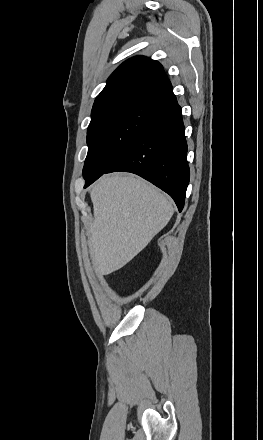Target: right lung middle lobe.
<instances>
[{"label":"right lung middle lobe","instance_id":"dd1d6c3e","mask_svg":"<svg viewBox=\"0 0 263 440\" xmlns=\"http://www.w3.org/2000/svg\"><path fill=\"white\" fill-rule=\"evenodd\" d=\"M156 112L157 106L138 105L112 108L92 117L87 130L84 179L104 174L112 160L137 137Z\"/></svg>","mask_w":263,"mask_h":440}]
</instances>
